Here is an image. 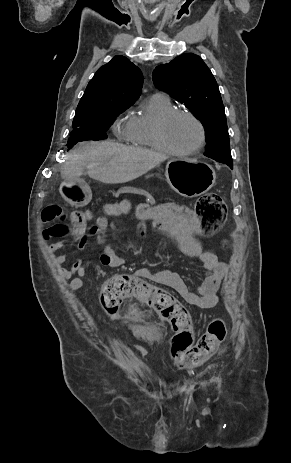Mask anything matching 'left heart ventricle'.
Masks as SVG:
<instances>
[{"instance_id":"left-heart-ventricle-1","label":"left heart ventricle","mask_w":291,"mask_h":463,"mask_svg":"<svg viewBox=\"0 0 291 463\" xmlns=\"http://www.w3.org/2000/svg\"><path fill=\"white\" fill-rule=\"evenodd\" d=\"M165 135L172 147L187 150L198 143L200 131L193 120L186 116H178L168 124Z\"/></svg>"}]
</instances>
